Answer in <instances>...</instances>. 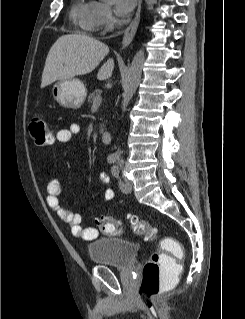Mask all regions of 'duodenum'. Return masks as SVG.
I'll return each mask as SVG.
<instances>
[{
    "instance_id": "duodenum-1",
    "label": "duodenum",
    "mask_w": 245,
    "mask_h": 319,
    "mask_svg": "<svg viewBox=\"0 0 245 319\" xmlns=\"http://www.w3.org/2000/svg\"><path fill=\"white\" fill-rule=\"evenodd\" d=\"M102 140L106 144L110 143V141H111V133L109 131H104L102 133Z\"/></svg>"
}]
</instances>
